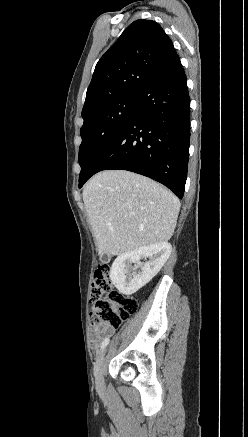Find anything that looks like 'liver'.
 I'll return each mask as SVG.
<instances>
[{"mask_svg":"<svg viewBox=\"0 0 248 437\" xmlns=\"http://www.w3.org/2000/svg\"><path fill=\"white\" fill-rule=\"evenodd\" d=\"M83 201L100 255L167 242L180 210V201L171 191L122 170L93 176L84 187Z\"/></svg>","mask_w":248,"mask_h":437,"instance_id":"liver-1","label":"liver"}]
</instances>
